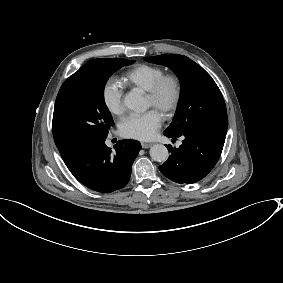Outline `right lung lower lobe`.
I'll return each mask as SVG.
<instances>
[{"label":"right lung lower lobe","mask_w":283,"mask_h":283,"mask_svg":"<svg viewBox=\"0 0 283 283\" xmlns=\"http://www.w3.org/2000/svg\"><path fill=\"white\" fill-rule=\"evenodd\" d=\"M105 139L81 148L64 163L82 184L92 190L109 193L126 186L141 145L135 140L119 141L112 153Z\"/></svg>","instance_id":"right-lung-lower-lobe-1"}]
</instances>
